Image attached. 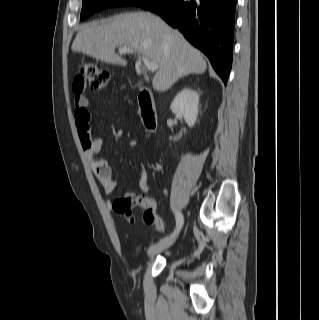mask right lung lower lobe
Returning <instances> with one entry per match:
<instances>
[{
	"label": "right lung lower lobe",
	"mask_w": 319,
	"mask_h": 320,
	"mask_svg": "<svg viewBox=\"0 0 319 320\" xmlns=\"http://www.w3.org/2000/svg\"><path fill=\"white\" fill-rule=\"evenodd\" d=\"M237 0H152L140 5L160 15L209 58L224 83L232 65Z\"/></svg>",
	"instance_id": "98d812e1"
}]
</instances>
